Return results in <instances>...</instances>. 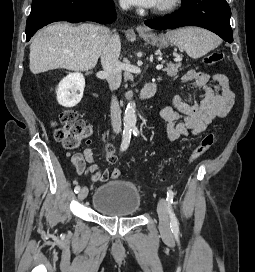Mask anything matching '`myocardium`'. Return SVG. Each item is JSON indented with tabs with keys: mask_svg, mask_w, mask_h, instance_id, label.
I'll list each match as a JSON object with an SVG mask.
<instances>
[{
	"mask_svg": "<svg viewBox=\"0 0 255 272\" xmlns=\"http://www.w3.org/2000/svg\"><path fill=\"white\" fill-rule=\"evenodd\" d=\"M182 0H166L161 5L155 7L153 12L155 14H166L173 10H175L180 4Z\"/></svg>",
	"mask_w": 255,
	"mask_h": 272,
	"instance_id": "myocardium-1",
	"label": "myocardium"
}]
</instances>
